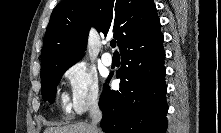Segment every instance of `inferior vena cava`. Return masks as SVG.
Segmentation results:
<instances>
[{"label": "inferior vena cava", "instance_id": "obj_1", "mask_svg": "<svg viewBox=\"0 0 221 133\" xmlns=\"http://www.w3.org/2000/svg\"><path fill=\"white\" fill-rule=\"evenodd\" d=\"M90 118L92 120L91 126L94 133H98L97 124L101 121L102 112L97 103H95L90 109Z\"/></svg>", "mask_w": 221, "mask_h": 133}]
</instances>
